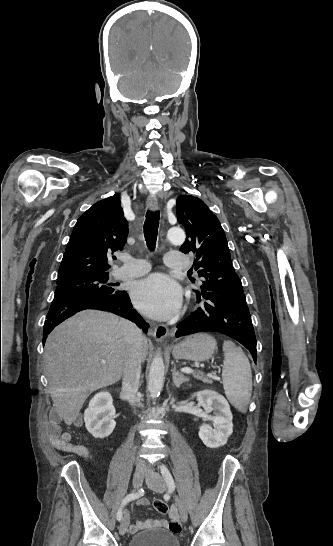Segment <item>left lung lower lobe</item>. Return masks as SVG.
I'll list each match as a JSON object with an SVG mask.
<instances>
[{
	"label": "left lung lower lobe",
	"instance_id": "left-lung-lower-lobe-1",
	"mask_svg": "<svg viewBox=\"0 0 333 546\" xmlns=\"http://www.w3.org/2000/svg\"><path fill=\"white\" fill-rule=\"evenodd\" d=\"M195 293L199 307L177 325L175 336L178 338L198 332H219L239 341L256 361V337L245 295Z\"/></svg>",
	"mask_w": 333,
	"mask_h": 546
}]
</instances>
